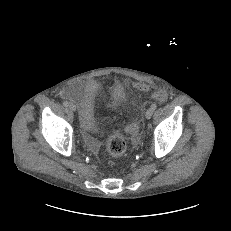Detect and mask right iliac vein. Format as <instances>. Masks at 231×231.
I'll return each instance as SVG.
<instances>
[{
	"mask_svg": "<svg viewBox=\"0 0 231 231\" xmlns=\"http://www.w3.org/2000/svg\"><path fill=\"white\" fill-rule=\"evenodd\" d=\"M68 108L71 110V111H76V105L74 103H69L68 104Z\"/></svg>",
	"mask_w": 231,
	"mask_h": 231,
	"instance_id": "right-iliac-vein-1",
	"label": "right iliac vein"
}]
</instances>
